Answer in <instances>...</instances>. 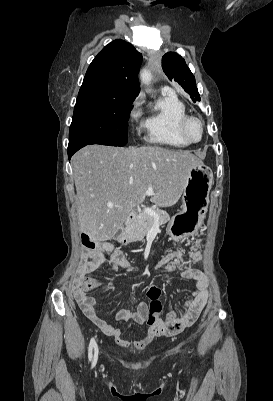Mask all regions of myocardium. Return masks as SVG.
I'll return each instance as SVG.
<instances>
[{
	"instance_id": "1",
	"label": "myocardium",
	"mask_w": 273,
	"mask_h": 401,
	"mask_svg": "<svg viewBox=\"0 0 273 401\" xmlns=\"http://www.w3.org/2000/svg\"><path fill=\"white\" fill-rule=\"evenodd\" d=\"M192 121H197V122L200 124L201 129H202V136H201V138H200L199 140H197V141L191 140V139L187 136V128H188L189 124H190ZM177 131H178L179 136H180L186 143L191 144V145L200 144L201 142H203V141L205 140V138H206V136H207V127H206L204 121H203L201 118H198V117H195V116H187L186 118H184V119L178 124Z\"/></svg>"
}]
</instances>
